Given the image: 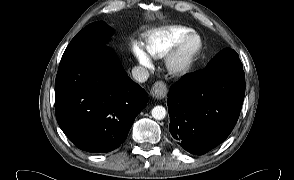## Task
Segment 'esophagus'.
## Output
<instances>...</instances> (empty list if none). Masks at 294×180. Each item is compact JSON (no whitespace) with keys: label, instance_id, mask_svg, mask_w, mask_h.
I'll use <instances>...</instances> for the list:
<instances>
[{"label":"esophagus","instance_id":"esophagus-1","mask_svg":"<svg viewBox=\"0 0 294 180\" xmlns=\"http://www.w3.org/2000/svg\"><path fill=\"white\" fill-rule=\"evenodd\" d=\"M168 92V88L166 86V83L163 81H157L155 84L152 86L150 90V94L153 98L155 99H163L166 97Z\"/></svg>","mask_w":294,"mask_h":180}]
</instances>
